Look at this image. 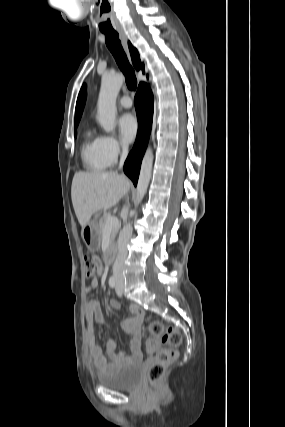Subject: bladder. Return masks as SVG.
Listing matches in <instances>:
<instances>
[{"instance_id": "1", "label": "bladder", "mask_w": 285, "mask_h": 427, "mask_svg": "<svg viewBox=\"0 0 285 427\" xmlns=\"http://www.w3.org/2000/svg\"><path fill=\"white\" fill-rule=\"evenodd\" d=\"M142 377V364L135 362L118 371L100 373L97 380L102 385L115 390H131L137 388Z\"/></svg>"}]
</instances>
